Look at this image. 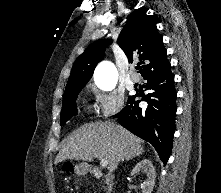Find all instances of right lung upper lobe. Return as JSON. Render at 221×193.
I'll return each mask as SVG.
<instances>
[{
	"instance_id": "right-lung-upper-lobe-1",
	"label": "right lung upper lobe",
	"mask_w": 221,
	"mask_h": 193,
	"mask_svg": "<svg viewBox=\"0 0 221 193\" xmlns=\"http://www.w3.org/2000/svg\"><path fill=\"white\" fill-rule=\"evenodd\" d=\"M156 21L145 13H135L127 18L119 38L118 45L126 54L128 61L139 60V71L143 77L153 71L170 66L162 36L158 33ZM110 40H98L76 59L66 88L85 86L90 80L96 65L102 60Z\"/></svg>"
}]
</instances>
